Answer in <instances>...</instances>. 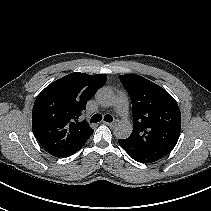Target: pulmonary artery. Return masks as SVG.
<instances>
[{
	"instance_id": "pulmonary-artery-1",
	"label": "pulmonary artery",
	"mask_w": 211,
	"mask_h": 211,
	"mask_svg": "<svg viewBox=\"0 0 211 211\" xmlns=\"http://www.w3.org/2000/svg\"><path fill=\"white\" fill-rule=\"evenodd\" d=\"M116 111L122 118H127L128 100L124 93H120L116 103Z\"/></svg>"
}]
</instances>
